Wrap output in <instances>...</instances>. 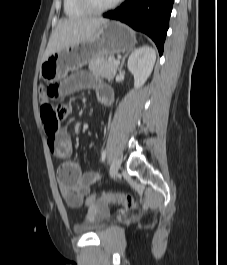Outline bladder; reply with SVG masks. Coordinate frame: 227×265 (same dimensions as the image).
<instances>
[{
    "label": "bladder",
    "instance_id": "obj_1",
    "mask_svg": "<svg viewBox=\"0 0 227 265\" xmlns=\"http://www.w3.org/2000/svg\"><path fill=\"white\" fill-rule=\"evenodd\" d=\"M108 222H109V217L104 216V217L98 218L97 220L93 222L80 224L76 226L75 230L78 233L90 232V233L99 234L108 226Z\"/></svg>",
    "mask_w": 227,
    "mask_h": 265
}]
</instances>
